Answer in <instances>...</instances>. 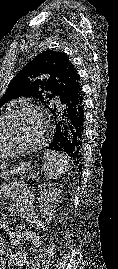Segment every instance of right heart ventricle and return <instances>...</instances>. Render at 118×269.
<instances>
[{
    "label": "right heart ventricle",
    "instance_id": "obj_1",
    "mask_svg": "<svg viewBox=\"0 0 118 269\" xmlns=\"http://www.w3.org/2000/svg\"><path fill=\"white\" fill-rule=\"evenodd\" d=\"M4 115L5 114H0V120L3 118ZM0 150H2V149L0 148ZM10 156H14V155H12V154H4V153H1V151H0V159L7 158V157H10Z\"/></svg>",
    "mask_w": 118,
    "mask_h": 269
}]
</instances>
